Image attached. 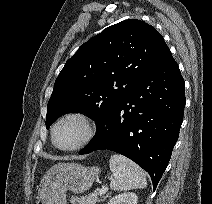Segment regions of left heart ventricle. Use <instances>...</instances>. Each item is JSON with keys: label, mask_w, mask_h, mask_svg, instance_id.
I'll return each instance as SVG.
<instances>
[{"label": "left heart ventricle", "mask_w": 212, "mask_h": 204, "mask_svg": "<svg viewBox=\"0 0 212 204\" xmlns=\"http://www.w3.org/2000/svg\"><path fill=\"white\" fill-rule=\"evenodd\" d=\"M84 133L82 124L77 120H67L61 123L55 132V139L61 147H71L78 143Z\"/></svg>", "instance_id": "b2bd125f"}]
</instances>
